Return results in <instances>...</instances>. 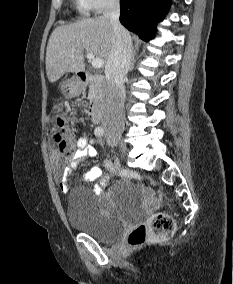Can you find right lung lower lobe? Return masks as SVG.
I'll list each match as a JSON object with an SVG mask.
<instances>
[{"label":"right lung lower lobe","instance_id":"obj_1","mask_svg":"<svg viewBox=\"0 0 233 284\" xmlns=\"http://www.w3.org/2000/svg\"><path fill=\"white\" fill-rule=\"evenodd\" d=\"M171 0H120V22L142 40L154 37L156 23L168 11Z\"/></svg>","mask_w":233,"mask_h":284}]
</instances>
